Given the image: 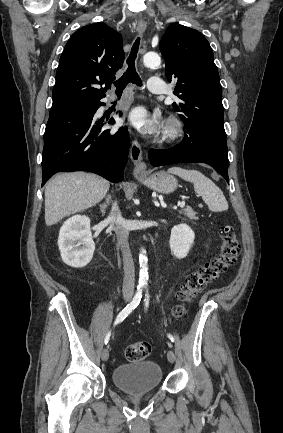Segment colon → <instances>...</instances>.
I'll use <instances>...</instances> for the list:
<instances>
[{"label":"colon","mask_w":283,"mask_h":433,"mask_svg":"<svg viewBox=\"0 0 283 433\" xmlns=\"http://www.w3.org/2000/svg\"><path fill=\"white\" fill-rule=\"evenodd\" d=\"M219 237L221 246L218 255L191 273L178 290L177 304L173 309L176 317H183L186 305L236 261L240 253V244L235 229L231 225H223L219 229ZM150 353L151 345L147 342H135L125 349V356L130 361H142Z\"/></svg>","instance_id":"1"}]
</instances>
